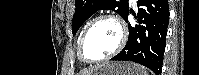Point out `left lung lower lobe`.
Wrapping results in <instances>:
<instances>
[{"label":"left lung lower lobe","instance_id":"obj_1","mask_svg":"<svg viewBox=\"0 0 199 75\" xmlns=\"http://www.w3.org/2000/svg\"><path fill=\"white\" fill-rule=\"evenodd\" d=\"M137 5L136 25L128 26V42L111 60L133 61L161 75L169 23L168 0H138ZM128 14L129 10L124 17L126 22Z\"/></svg>","mask_w":199,"mask_h":75}]
</instances>
